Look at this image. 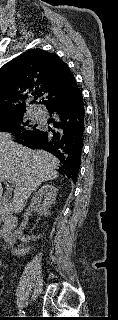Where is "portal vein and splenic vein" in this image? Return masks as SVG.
Segmentation results:
<instances>
[{"mask_svg": "<svg viewBox=\"0 0 118 320\" xmlns=\"http://www.w3.org/2000/svg\"><path fill=\"white\" fill-rule=\"evenodd\" d=\"M2 180H4V181H6V182H9V183H13V181H11V180H9V179H2Z\"/></svg>", "mask_w": 118, "mask_h": 320, "instance_id": "obj_1", "label": "portal vein and splenic vein"}]
</instances>
